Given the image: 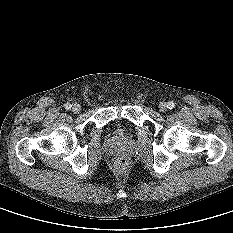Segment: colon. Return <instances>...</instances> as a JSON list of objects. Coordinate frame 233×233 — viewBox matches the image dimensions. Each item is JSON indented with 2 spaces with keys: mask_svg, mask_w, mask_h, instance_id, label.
I'll list each match as a JSON object with an SVG mask.
<instances>
[{
  "mask_svg": "<svg viewBox=\"0 0 233 233\" xmlns=\"http://www.w3.org/2000/svg\"><path fill=\"white\" fill-rule=\"evenodd\" d=\"M127 165H128V161L125 158H123V157H120V158L116 159V161H115V166L118 169H123Z\"/></svg>",
  "mask_w": 233,
  "mask_h": 233,
  "instance_id": "colon-1",
  "label": "colon"
}]
</instances>
